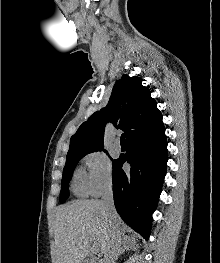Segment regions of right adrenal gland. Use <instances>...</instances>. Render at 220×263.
<instances>
[{
    "label": "right adrenal gland",
    "instance_id": "right-adrenal-gland-1",
    "mask_svg": "<svg viewBox=\"0 0 220 263\" xmlns=\"http://www.w3.org/2000/svg\"><path fill=\"white\" fill-rule=\"evenodd\" d=\"M132 240L128 239L123 241L122 247L119 250L118 256L122 255L126 250H129V248H132Z\"/></svg>",
    "mask_w": 220,
    "mask_h": 263
}]
</instances>
